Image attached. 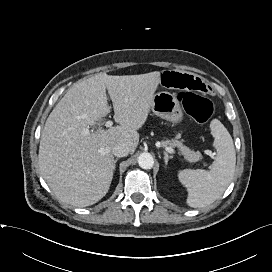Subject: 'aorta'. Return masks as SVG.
Wrapping results in <instances>:
<instances>
[{"label":"aorta","mask_w":272,"mask_h":272,"mask_svg":"<svg viewBox=\"0 0 272 272\" xmlns=\"http://www.w3.org/2000/svg\"><path fill=\"white\" fill-rule=\"evenodd\" d=\"M138 164L142 169H151L154 165V159L150 153H141L138 157Z\"/></svg>","instance_id":"762f6f07"}]
</instances>
